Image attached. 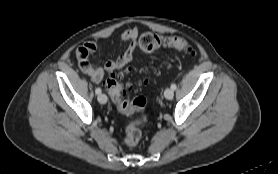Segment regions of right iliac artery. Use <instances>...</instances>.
<instances>
[{
    "label": "right iliac artery",
    "mask_w": 278,
    "mask_h": 174,
    "mask_svg": "<svg viewBox=\"0 0 278 174\" xmlns=\"http://www.w3.org/2000/svg\"><path fill=\"white\" fill-rule=\"evenodd\" d=\"M95 93L96 94H100L101 93V89L100 88H96Z\"/></svg>",
    "instance_id": "right-iliac-artery-1"
}]
</instances>
